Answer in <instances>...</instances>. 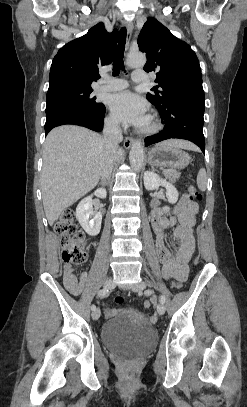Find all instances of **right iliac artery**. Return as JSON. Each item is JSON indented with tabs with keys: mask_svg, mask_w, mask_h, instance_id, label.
<instances>
[{
	"mask_svg": "<svg viewBox=\"0 0 247 407\" xmlns=\"http://www.w3.org/2000/svg\"><path fill=\"white\" fill-rule=\"evenodd\" d=\"M107 293H108V289H106V288H103V289H101V290L98 291V295H99V296H102V297H103V296H106ZM95 309H96V306H95V305H92V306H91V310L94 311Z\"/></svg>",
	"mask_w": 247,
	"mask_h": 407,
	"instance_id": "obj_1",
	"label": "right iliac artery"
}]
</instances>
